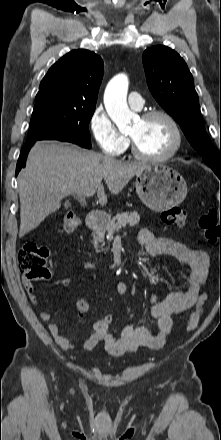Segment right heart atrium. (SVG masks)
Segmentation results:
<instances>
[{
    "instance_id": "right-heart-atrium-1",
    "label": "right heart atrium",
    "mask_w": 221,
    "mask_h": 440,
    "mask_svg": "<svg viewBox=\"0 0 221 440\" xmlns=\"http://www.w3.org/2000/svg\"><path fill=\"white\" fill-rule=\"evenodd\" d=\"M89 128L99 149L106 155L119 156L129 146L128 138L119 131L102 106L92 112Z\"/></svg>"
}]
</instances>
